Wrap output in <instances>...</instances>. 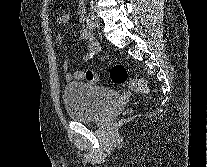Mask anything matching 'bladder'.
<instances>
[{
  "mask_svg": "<svg viewBox=\"0 0 207 167\" xmlns=\"http://www.w3.org/2000/svg\"><path fill=\"white\" fill-rule=\"evenodd\" d=\"M117 98L118 93L113 89L76 81L68 82L62 93L67 114L78 122L99 119Z\"/></svg>",
  "mask_w": 207,
  "mask_h": 167,
  "instance_id": "bladder-1",
  "label": "bladder"
}]
</instances>
